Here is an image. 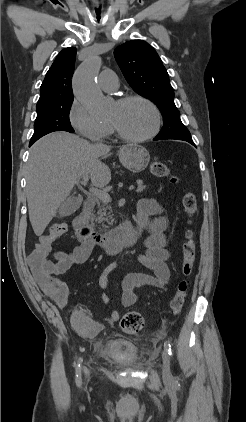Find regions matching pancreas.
<instances>
[{"label":"pancreas","instance_id":"cf45deb5","mask_svg":"<svg viewBox=\"0 0 246 422\" xmlns=\"http://www.w3.org/2000/svg\"><path fill=\"white\" fill-rule=\"evenodd\" d=\"M137 185H138V188L136 190L137 192H141L145 188V186L143 185V181L140 179L137 180ZM111 210L112 209L109 202L101 201L100 203H98L97 212L94 215V220L97 223H102L103 221H107L109 224H112L113 221L111 220L112 217L110 215ZM103 227L104 229L108 228L107 226H104V225Z\"/></svg>","mask_w":246,"mask_h":422}]
</instances>
